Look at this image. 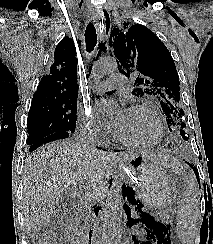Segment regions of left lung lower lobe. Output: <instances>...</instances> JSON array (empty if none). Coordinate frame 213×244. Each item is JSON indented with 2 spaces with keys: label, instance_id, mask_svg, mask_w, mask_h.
Here are the masks:
<instances>
[{
  "label": "left lung lower lobe",
  "instance_id": "0a47b994",
  "mask_svg": "<svg viewBox=\"0 0 213 244\" xmlns=\"http://www.w3.org/2000/svg\"><path fill=\"white\" fill-rule=\"evenodd\" d=\"M193 170H194V172H195V174H196V177H197V180H198V182H199V176H198V172L196 171V168H194L193 166H192V164H190V163H187ZM199 184H200V182H199ZM125 190V188L123 187V191ZM125 195H127L126 194V191L125 192H123V198L125 199ZM128 198V197H127ZM125 205H126V203H125ZM124 209H125V206H124Z\"/></svg>",
  "mask_w": 213,
  "mask_h": 244
}]
</instances>
